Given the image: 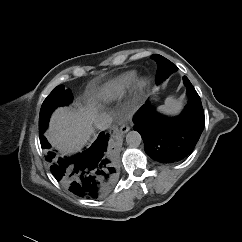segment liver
Here are the masks:
<instances>
[{"label":"liver","instance_id":"liver-1","mask_svg":"<svg viewBox=\"0 0 242 242\" xmlns=\"http://www.w3.org/2000/svg\"><path fill=\"white\" fill-rule=\"evenodd\" d=\"M97 114L98 109L93 105L80 109L59 108L52 114L46 137L64 154L80 151L93 133L92 123Z\"/></svg>","mask_w":242,"mask_h":242}]
</instances>
